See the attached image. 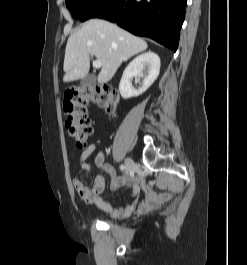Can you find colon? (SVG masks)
<instances>
[{
  "instance_id": "obj_1",
  "label": "colon",
  "mask_w": 247,
  "mask_h": 265,
  "mask_svg": "<svg viewBox=\"0 0 247 265\" xmlns=\"http://www.w3.org/2000/svg\"><path fill=\"white\" fill-rule=\"evenodd\" d=\"M97 104L109 113L118 105V94L109 87L88 86L68 90L65 94L64 111L67 115L66 128L79 148H84L92 134V124L87 115L89 103Z\"/></svg>"
}]
</instances>
